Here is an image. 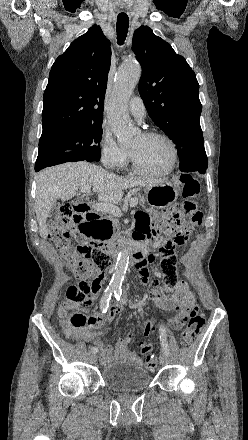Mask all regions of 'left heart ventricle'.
<instances>
[{"label": "left heart ventricle", "mask_w": 248, "mask_h": 440, "mask_svg": "<svg viewBox=\"0 0 248 440\" xmlns=\"http://www.w3.org/2000/svg\"><path fill=\"white\" fill-rule=\"evenodd\" d=\"M139 165L153 172L165 170L172 159L169 144L158 137H145L140 134L130 145Z\"/></svg>", "instance_id": "b2bd125f"}]
</instances>
